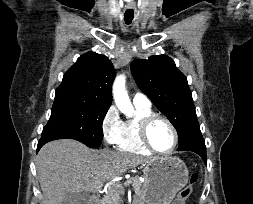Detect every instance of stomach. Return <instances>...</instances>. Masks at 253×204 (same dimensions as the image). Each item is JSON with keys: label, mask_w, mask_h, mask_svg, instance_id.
I'll list each match as a JSON object with an SVG mask.
<instances>
[{"label": "stomach", "mask_w": 253, "mask_h": 204, "mask_svg": "<svg viewBox=\"0 0 253 204\" xmlns=\"http://www.w3.org/2000/svg\"><path fill=\"white\" fill-rule=\"evenodd\" d=\"M143 172L145 181L139 196L144 204H171L189 179L185 163L175 156L151 159Z\"/></svg>", "instance_id": "obj_1"}]
</instances>
